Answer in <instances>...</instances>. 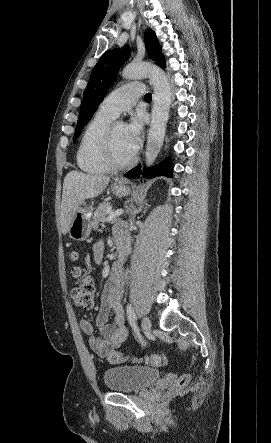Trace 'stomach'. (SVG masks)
Returning <instances> with one entry per match:
<instances>
[{"label":"stomach","mask_w":271,"mask_h":443,"mask_svg":"<svg viewBox=\"0 0 271 443\" xmlns=\"http://www.w3.org/2000/svg\"><path fill=\"white\" fill-rule=\"evenodd\" d=\"M127 182L123 180H115L114 184L111 186V192L114 196H119V198H124V196H129L131 194V188L126 186ZM81 206L85 208H79L75 216H73L71 223L69 225L68 233L72 239H77V241H83L87 239L91 233V216L90 208H87L86 202H80Z\"/></svg>","instance_id":"1"}]
</instances>
